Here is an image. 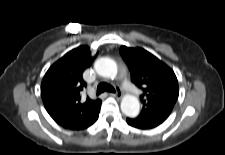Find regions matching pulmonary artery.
I'll return each instance as SVG.
<instances>
[{"label":"pulmonary artery","mask_w":225,"mask_h":155,"mask_svg":"<svg viewBox=\"0 0 225 155\" xmlns=\"http://www.w3.org/2000/svg\"><path fill=\"white\" fill-rule=\"evenodd\" d=\"M123 87L126 91L137 95L138 94V90L132 85V83L128 80V78L126 76H124L123 78Z\"/></svg>","instance_id":"1"}]
</instances>
